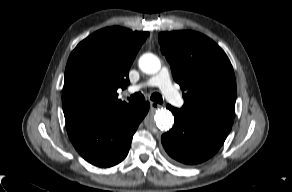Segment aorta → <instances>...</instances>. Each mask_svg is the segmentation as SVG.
I'll use <instances>...</instances> for the list:
<instances>
[{
    "label": "aorta",
    "instance_id": "aorta-1",
    "mask_svg": "<svg viewBox=\"0 0 292 192\" xmlns=\"http://www.w3.org/2000/svg\"><path fill=\"white\" fill-rule=\"evenodd\" d=\"M139 68L145 74H156L161 68L160 59L152 54L145 53L143 54L138 61ZM174 123L173 114L166 109H159L154 114L153 119L146 118L145 125L150 130H155L156 127L162 131L169 130Z\"/></svg>",
    "mask_w": 292,
    "mask_h": 192
}]
</instances>
